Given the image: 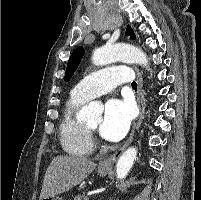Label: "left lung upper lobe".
<instances>
[{
    "mask_svg": "<svg viewBox=\"0 0 201 200\" xmlns=\"http://www.w3.org/2000/svg\"><path fill=\"white\" fill-rule=\"evenodd\" d=\"M126 35L130 36L131 39H135V34L130 26H127ZM84 52L85 51H84L83 47H81V46L77 47L72 52V54L68 60L67 68H66V73H65V81L66 82H68L71 79L72 75L76 71V69L84 55Z\"/></svg>",
    "mask_w": 201,
    "mask_h": 200,
    "instance_id": "1",
    "label": "left lung upper lobe"
}]
</instances>
